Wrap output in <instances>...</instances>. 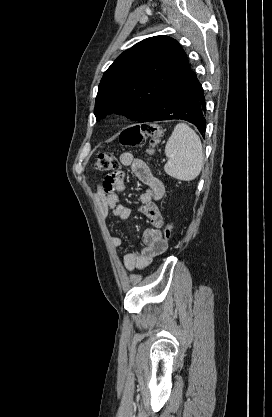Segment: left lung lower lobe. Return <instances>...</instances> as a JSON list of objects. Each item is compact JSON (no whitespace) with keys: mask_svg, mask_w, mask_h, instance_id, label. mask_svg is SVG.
Segmentation results:
<instances>
[{"mask_svg":"<svg viewBox=\"0 0 272 417\" xmlns=\"http://www.w3.org/2000/svg\"><path fill=\"white\" fill-rule=\"evenodd\" d=\"M205 115L203 88L188 65L142 122L181 119L192 123L203 135Z\"/></svg>","mask_w":272,"mask_h":417,"instance_id":"obj_1","label":"left lung lower lobe"}]
</instances>
